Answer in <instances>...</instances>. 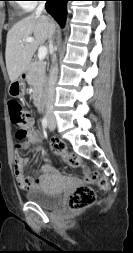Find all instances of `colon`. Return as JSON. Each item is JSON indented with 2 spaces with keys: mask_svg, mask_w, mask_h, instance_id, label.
I'll list each match as a JSON object with an SVG mask.
<instances>
[{
  "mask_svg": "<svg viewBox=\"0 0 133 253\" xmlns=\"http://www.w3.org/2000/svg\"><path fill=\"white\" fill-rule=\"evenodd\" d=\"M8 111L10 120L16 129V139H27L33 131L29 111L15 100H10L8 102ZM51 147L54 153L61 156L68 165L72 167H79L82 165L81 159L76 154L67 152L61 142L53 141ZM92 178L97 182L100 188H107V180L104 177L97 173H93ZM95 201L96 193L94 189L90 186H82L77 188L69 196L67 207L73 211L83 210L93 205Z\"/></svg>",
  "mask_w": 133,
  "mask_h": 253,
  "instance_id": "colon-1",
  "label": "colon"
}]
</instances>
